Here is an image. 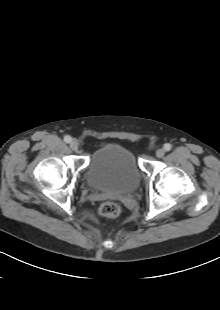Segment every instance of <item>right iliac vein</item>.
Here are the masks:
<instances>
[{
	"instance_id": "63e3f726",
	"label": "right iliac vein",
	"mask_w": 220,
	"mask_h": 310,
	"mask_svg": "<svg viewBox=\"0 0 220 310\" xmlns=\"http://www.w3.org/2000/svg\"><path fill=\"white\" fill-rule=\"evenodd\" d=\"M70 148H71L73 151H77L78 148H79V145H78V143H77L76 141H72V142L70 143Z\"/></svg>"
}]
</instances>
